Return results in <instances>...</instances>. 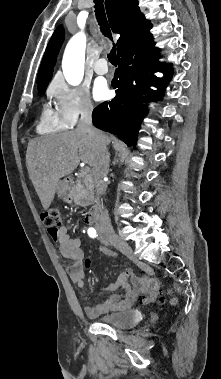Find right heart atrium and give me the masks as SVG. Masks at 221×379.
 I'll return each instance as SVG.
<instances>
[{
    "instance_id": "right-heart-atrium-1",
    "label": "right heart atrium",
    "mask_w": 221,
    "mask_h": 379,
    "mask_svg": "<svg viewBox=\"0 0 221 379\" xmlns=\"http://www.w3.org/2000/svg\"><path fill=\"white\" fill-rule=\"evenodd\" d=\"M48 93L55 102L56 111L69 127L74 126L80 118L92 115L95 110L89 91L83 86L54 81Z\"/></svg>"
}]
</instances>
